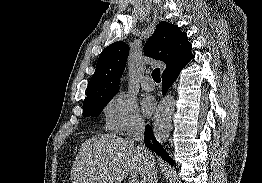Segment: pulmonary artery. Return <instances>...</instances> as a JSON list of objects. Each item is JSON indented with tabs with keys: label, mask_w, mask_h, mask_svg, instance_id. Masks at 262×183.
<instances>
[{
	"label": "pulmonary artery",
	"mask_w": 262,
	"mask_h": 183,
	"mask_svg": "<svg viewBox=\"0 0 262 183\" xmlns=\"http://www.w3.org/2000/svg\"><path fill=\"white\" fill-rule=\"evenodd\" d=\"M141 86L144 90L146 91H152L154 90L155 88V84L154 82L152 81L151 77L150 76H145L143 79H142V82H141Z\"/></svg>",
	"instance_id": "1"
}]
</instances>
